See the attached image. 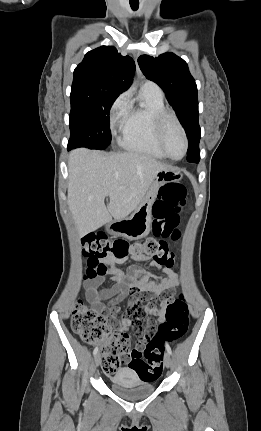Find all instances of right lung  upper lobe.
I'll use <instances>...</instances> for the list:
<instances>
[{"instance_id":"obj_1","label":"right lung upper lobe","mask_w":261,"mask_h":431,"mask_svg":"<svg viewBox=\"0 0 261 431\" xmlns=\"http://www.w3.org/2000/svg\"><path fill=\"white\" fill-rule=\"evenodd\" d=\"M134 71L131 57L122 56L113 46H101L86 53L74 70L73 84H89L121 94L130 87Z\"/></svg>"}]
</instances>
